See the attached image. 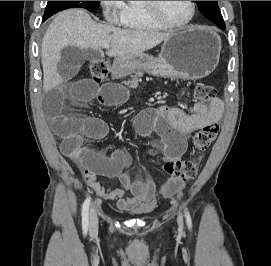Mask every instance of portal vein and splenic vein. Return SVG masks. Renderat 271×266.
I'll return each instance as SVG.
<instances>
[{
  "mask_svg": "<svg viewBox=\"0 0 271 266\" xmlns=\"http://www.w3.org/2000/svg\"><path fill=\"white\" fill-rule=\"evenodd\" d=\"M102 47L108 49V48H110V45L109 44H104V45H102Z\"/></svg>",
  "mask_w": 271,
  "mask_h": 266,
  "instance_id": "1",
  "label": "portal vein and splenic vein"
}]
</instances>
